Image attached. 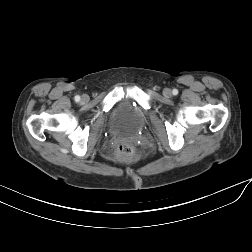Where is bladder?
<instances>
[{
    "label": "bladder",
    "mask_w": 252,
    "mask_h": 252,
    "mask_svg": "<svg viewBox=\"0 0 252 252\" xmlns=\"http://www.w3.org/2000/svg\"><path fill=\"white\" fill-rule=\"evenodd\" d=\"M145 120V111L133 105L129 99H124L114 109L108 122V130L112 133L132 135L144 125Z\"/></svg>",
    "instance_id": "31cf9c89"
}]
</instances>
